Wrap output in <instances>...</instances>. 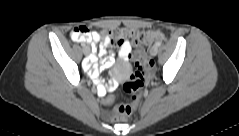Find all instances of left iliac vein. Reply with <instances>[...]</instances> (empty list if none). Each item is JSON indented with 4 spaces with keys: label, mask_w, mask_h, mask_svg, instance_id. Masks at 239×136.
<instances>
[{
    "label": "left iliac vein",
    "mask_w": 239,
    "mask_h": 136,
    "mask_svg": "<svg viewBox=\"0 0 239 136\" xmlns=\"http://www.w3.org/2000/svg\"><path fill=\"white\" fill-rule=\"evenodd\" d=\"M158 53V48L156 46H153L151 49H150V54L152 56H156Z\"/></svg>",
    "instance_id": "1"
}]
</instances>
